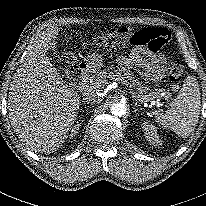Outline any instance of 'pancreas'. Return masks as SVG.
<instances>
[{"mask_svg": "<svg viewBox=\"0 0 206 206\" xmlns=\"http://www.w3.org/2000/svg\"><path fill=\"white\" fill-rule=\"evenodd\" d=\"M117 61L120 64V67H111L109 69H104L96 74V82L98 84H106L109 80H115L119 82L126 80L131 87L136 89L139 94L138 96L144 101H149L153 98L159 97L161 92L160 90L156 89L150 91L149 87L134 80L133 73H131L127 68L135 63L133 59L123 56L118 58Z\"/></svg>", "mask_w": 206, "mask_h": 206, "instance_id": "1", "label": "pancreas"}]
</instances>
